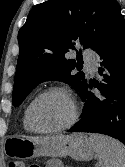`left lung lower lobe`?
<instances>
[{
	"label": "left lung lower lobe",
	"instance_id": "1",
	"mask_svg": "<svg viewBox=\"0 0 125 167\" xmlns=\"http://www.w3.org/2000/svg\"><path fill=\"white\" fill-rule=\"evenodd\" d=\"M96 53L101 59L98 70L103 80L94 86L103 98L94 96L86 86L81 94L85 101L83 115L68 132L105 134L125 145V21L121 14Z\"/></svg>",
	"mask_w": 125,
	"mask_h": 167
}]
</instances>
